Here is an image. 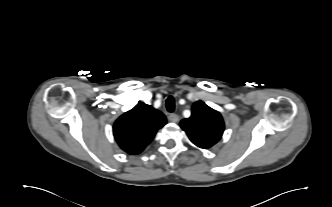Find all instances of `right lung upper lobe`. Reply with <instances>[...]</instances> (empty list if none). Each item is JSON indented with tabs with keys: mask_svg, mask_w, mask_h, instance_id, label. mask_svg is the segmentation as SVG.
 <instances>
[{
	"mask_svg": "<svg viewBox=\"0 0 332 207\" xmlns=\"http://www.w3.org/2000/svg\"><path fill=\"white\" fill-rule=\"evenodd\" d=\"M165 124L166 117L162 112L139 102L116 120L113 134L122 150L130 155H136L145 149L158 129Z\"/></svg>",
	"mask_w": 332,
	"mask_h": 207,
	"instance_id": "1",
	"label": "right lung upper lobe"
}]
</instances>
